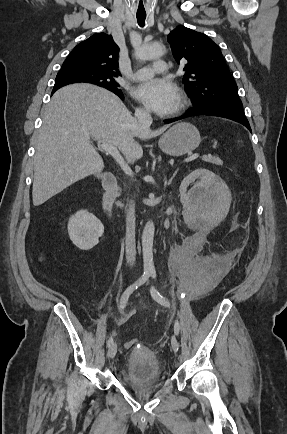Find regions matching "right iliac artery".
I'll list each match as a JSON object with an SVG mask.
<instances>
[{
	"mask_svg": "<svg viewBox=\"0 0 287 434\" xmlns=\"http://www.w3.org/2000/svg\"><path fill=\"white\" fill-rule=\"evenodd\" d=\"M150 273L144 272L143 275L132 285H130L122 294L121 300H120V309L123 310L126 307V304L128 302V299L130 295L133 293L134 290H136L139 286L144 284L150 277ZM113 344V338H109L107 341V346L110 348Z\"/></svg>",
	"mask_w": 287,
	"mask_h": 434,
	"instance_id": "1",
	"label": "right iliac artery"
}]
</instances>
